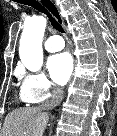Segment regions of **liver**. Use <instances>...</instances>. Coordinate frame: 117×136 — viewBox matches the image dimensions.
<instances>
[{
    "label": "liver",
    "mask_w": 117,
    "mask_h": 136,
    "mask_svg": "<svg viewBox=\"0 0 117 136\" xmlns=\"http://www.w3.org/2000/svg\"><path fill=\"white\" fill-rule=\"evenodd\" d=\"M48 119L41 107L13 110L5 118L1 136H43Z\"/></svg>",
    "instance_id": "obj_1"
}]
</instances>
